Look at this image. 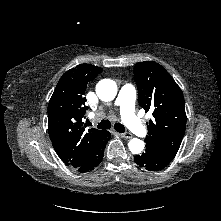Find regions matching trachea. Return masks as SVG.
<instances>
[{
  "label": "trachea",
  "mask_w": 221,
  "mask_h": 221,
  "mask_svg": "<svg viewBox=\"0 0 221 221\" xmlns=\"http://www.w3.org/2000/svg\"><path fill=\"white\" fill-rule=\"evenodd\" d=\"M91 123L89 122V125ZM97 127L99 129H109L111 128V122L109 120H102L98 125ZM114 129L117 131V132H120V133H124L125 132V127L124 125H122L121 123H115L114 125Z\"/></svg>",
  "instance_id": "obj_1"
}]
</instances>
